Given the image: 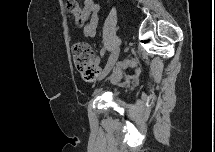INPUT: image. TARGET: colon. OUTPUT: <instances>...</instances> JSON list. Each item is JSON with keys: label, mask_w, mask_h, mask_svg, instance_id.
<instances>
[{"label": "colon", "mask_w": 215, "mask_h": 152, "mask_svg": "<svg viewBox=\"0 0 215 152\" xmlns=\"http://www.w3.org/2000/svg\"><path fill=\"white\" fill-rule=\"evenodd\" d=\"M67 10L75 18L78 25L86 23L89 15L83 11L78 1H68ZM72 59L76 69L84 80H93L99 74V67L95 62L94 52L86 43H76L72 47Z\"/></svg>", "instance_id": "5ec220e1"}]
</instances>
